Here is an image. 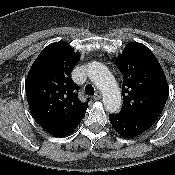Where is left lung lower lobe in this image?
Segmentation results:
<instances>
[{"label":"left lung lower lobe","mask_w":175,"mask_h":175,"mask_svg":"<svg viewBox=\"0 0 175 175\" xmlns=\"http://www.w3.org/2000/svg\"><path fill=\"white\" fill-rule=\"evenodd\" d=\"M159 115L152 113L142 114H111L109 120L114 129L125 138H133L148 130Z\"/></svg>","instance_id":"obj_1"}]
</instances>
